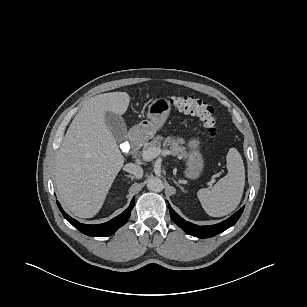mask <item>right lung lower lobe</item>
<instances>
[{
  "label": "right lung lower lobe",
  "instance_id": "1",
  "mask_svg": "<svg viewBox=\"0 0 307 307\" xmlns=\"http://www.w3.org/2000/svg\"><path fill=\"white\" fill-rule=\"evenodd\" d=\"M134 204H135V199L133 198L129 207L119 216L103 224L87 225V224H82L76 221L75 219H72L67 213L63 211V209L60 206V203L57 201L59 210L62 212L65 219H67L80 232L89 236H96V237H106L112 235L114 232L117 231V229L123 226L128 221L131 214V210L134 207Z\"/></svg>",
  "mask_w": 307,
  "mask_h": 307
}]
</instances>
